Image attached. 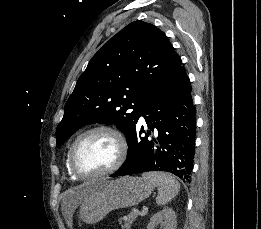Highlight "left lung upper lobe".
Instances as JSON below:
<instances>
[{
    "instance_id": "1",
    "label": "left lung upper lobe",
    "mask_w": 261,
    "mask_h": 229,
    "mask_svg": "<svg viewBox=\"0 0 261 229\" xmlns=\"http://www.w3.org/2000/svg\"><path fill=\"white\" fill-rule=\"evenodd\" d=\"M181 64L161 30L141 20L128 24L79 77L56 129L57 146L91 123L115 124L128 141L149 93Z\"/></svg>"
}]
</instances>
